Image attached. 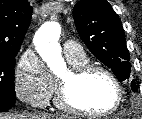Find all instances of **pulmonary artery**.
Listing matches in <instances>:
<instances>
[{
	"mask_svg": "<svg viewBox=\"0 0 142 119\" xmlns=\"http://www.w3.org/2000/svg\"><path fill=\"white\" fill-rule=\"evenodd\" d=\"M63 47L66 56H77L83 53L80 45L72 40L65 41Z\"/></svg>",
	"mask_w": 142,
	"mask_h": 119,
	"instance_id": "e3ab8cb5",
	"label": "pulmonary artery"
}]
</instances>
